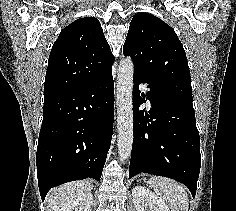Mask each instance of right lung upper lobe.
<instances>
[{"label": "right lung upper lobe", "mask_w": 236, "mask_h": 211, "mask_svg": "<svg viewBox=\"0 0 236 211\" xmlns=\"http://www.w3.org/2000/svg\"><path fill=\"white\" fill-rule=\"evenodd\" d=\"M114 56L100 22L81 18L65 27L50 52L44 96L84 88L112 72Z\"/></svg>", "instance_id": "1"}]
</instances>
